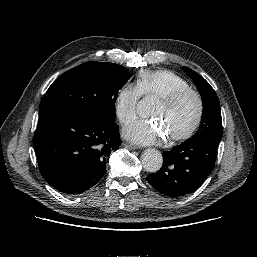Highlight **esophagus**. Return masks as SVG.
Instances as JSON below:
<instances>
[{"mask_svg": "<svg viewBox=\"0 0 257 257\" xmlns=\"http://www.w3.org/2000/svg\"><path fill=\"white\" fill-rule=\"evenodd\" d=\"M124 146L128 149H137L138 147L132 143H125Z\"/></svg>", "mask_w": 257, "mask_h": 257, "instance_id": "obj_1", "label": "esophagus"}]
</instances>
